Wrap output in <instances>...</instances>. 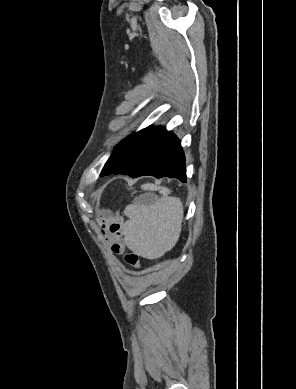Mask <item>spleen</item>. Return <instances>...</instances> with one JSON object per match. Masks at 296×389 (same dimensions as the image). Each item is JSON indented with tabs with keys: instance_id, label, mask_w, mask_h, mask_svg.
Segmentation results:
<instances>
[{
	"instance_id": "3e777b00",
	"label": "spleen",
	"mask_w": 296,
	"mask_h": 389,
	"mask_svg": "<svg viewBox=\"0 0 296 389\" xmlns=\"http://www.w3.org/2000/svg\"><path fill=\"white\" fill-rule=\"evenodd\" d=\"M142 189L159 191L160 198L151 194L140 197L126 207L128 216L124 224V240L135 254L146 259H157L177 243L183 221V205L179 198L170 196L166 187L145 184ZM152 199H148V197Z\"/></svg>"
}]
</instances>
